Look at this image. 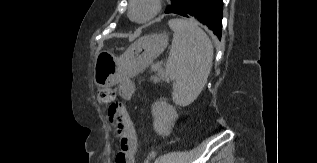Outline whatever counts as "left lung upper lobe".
<instances>
[{
    "mask_svg": "<svg viewBox=\"0 0 317 163\" xmlns=\"http://www.w3.org/2000/svg\"><path fill=\"white\" fill-rule=\"evenodd\" d=\"M180 1L181 0H171V5L167 7L166 13H172L177 8Z\"/></svg>",
    "mask_w": 317,
    "mask_h": 163,
    "instance_id": "obj_1",
    "label": "left lung upper lobe"
}]
</instances>
